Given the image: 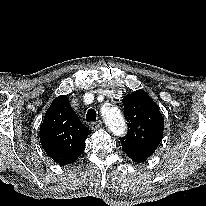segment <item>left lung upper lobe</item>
Wrapping results in <instances>:
<instances>
[{"label":"left lung upper lobe","mask_w":206,"mask_h":206,"mask_svg":"<svg viewBox=\"0 0 206 206\" xmlns=\"http://www.w3.org/2000/svg\"><path fill=\"white\" fill-rule=\"evenodd\" d=\"M124 116L128 133L120 138L124 151L152 154L163 136L164 118L152 98L144 90L124 96Z\"/></svg>","instance_id":"left-lung-upper-lobe-1"}]
</instances>
